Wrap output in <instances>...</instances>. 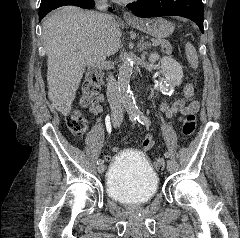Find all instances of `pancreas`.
Instances as JSON below:
<instances>
[{
	"instance_id": "pancreas-1",
	"label": "pancreas",
	"mask_w": 240,
	"mask_h": 238,
	"mask_svg": "<svg viewBox=\"0 0 240 238\" xmlns=\"http://www.w3.org/2000/svg\"><path fill=\"white\" fill-rule=\"evenodd\" d=\"M155 42H157L158 45H160V47L162 48V51H164L166 54L172 53V46L167 40L158 39Z\"/></svg>"
}]
</instances>
